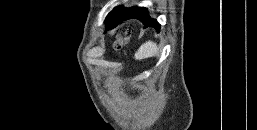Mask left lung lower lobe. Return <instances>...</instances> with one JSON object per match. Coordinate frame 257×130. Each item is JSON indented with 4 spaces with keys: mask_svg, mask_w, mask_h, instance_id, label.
I'll use <instances>...</instances> for the list:
<instances>
[{
    "mask_svg": "<svg viewBox=\"0 0 257 130\" xmlns=\"http://www.w3.org/2000/svg\"><path fill=\"white\" fill-rule=\"evenodd\" d=\"M129 18H137L141 20L145 28L152 26V25H157L158 28L157 30L159 31L160 25L159 23L151 18L148 14L147 8L144 7H131L128 9H123L121 7H118L113 10V12L109 15V17L106 19V28L110 29L113 28L118 24L119 21L129 19Z\"/></svg>",
    "mask_w": 257,
    "mask_h": 130,
    "instance_id": "left-lung-lower-lobe-1",
    "label": "left lung lower lobe"
}]
</instances>
